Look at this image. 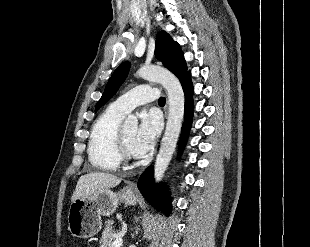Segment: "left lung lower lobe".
Returning a JSON list of instances; mask_svg holds the SVG:
<instances>
[{
  "instance_id": "0a47b994",
  "label": "left lung lower lobe",
  "mask_w": 310,
  "mask_h": 247,
  "mask_svg": "<svg viewBox=\"0 0 310 247\" xmlns=\"http://www.w3.org/2000/svg\"><path fill=\"white\" fill-rule=\"evenodd\" d=\"M185 94V122L182 127L181 140L179 143L180 150L183 149L192 123L193 115V85L191 82V74L187 72L180 79ZM137 186L143 197L155 208L163 211L167 216L170 214L171 204L170 198L164 189L155 187L153 180V168L148 167L140 176Z\"/></svg>"
}]
</instances>
